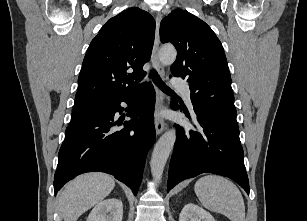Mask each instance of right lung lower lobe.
Wrapping results in <instances>:
<instances>
[{
	"label": "right lung lower lobe",
	"instance_id": "right-lung-lower-lobe-1",
	"mask_svg": "<svg viewBox=\"0 0 307 221\" xmlns=\"http://www.w3.org/2000/svg\"><path fill=\"white\" fill-rule=\"evenodd\" d=\"M121 102L130 105V121L115 122L116 112L121 113ZM154 88L143 86L139 95L110 102L107 109L90 119L68 126L66 137L58 155L54 176L55 194L69 180L85 172H105L125 183L137 194L146 155L155 141L153 112Z\"/></svg>",
	"mask_w": 307,
	"mask_h": 221
}]
</instances>
